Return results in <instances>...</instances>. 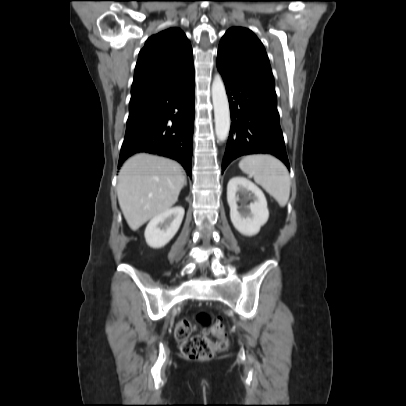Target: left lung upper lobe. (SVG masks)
I'll return each instance as SVG.
<instances>
[{"instance_id":"5c2ea615","label":"left lung upper lobe","mask_w":406,"mask_h":406,"mask_svg":"<svg viewBox=\"0 0 406 406\" xmlns=\"http://www.w3.org/2000/svg\"><path fill=\"white\" fill-rule=\"evenodd\" d=\"M217 58L274 85L264 46L249 29L230 28L221 39Z\"/></svg>"}]
</instances>
